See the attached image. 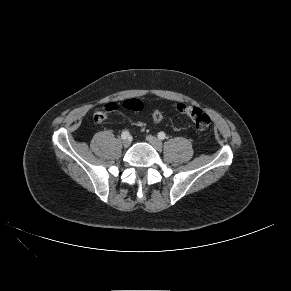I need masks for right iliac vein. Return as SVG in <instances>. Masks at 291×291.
<instances>
[{
    "label": "right iliac vein",
    "instance_id": "63e3f726",
    "mask_svg": "<svg viewBox=\"0 0 291 291\" xmlns=\"http://www.w3.org/2000/svg\"><path fill=\"white\" fill-rule=\"evenodd\" d=\"M122 144L125 148H127L130 146L131 142L129 139H125V140H123Z\"/></svg>",
    "mask_w": 291,
    "mask_h": 291
}]
</instances>
